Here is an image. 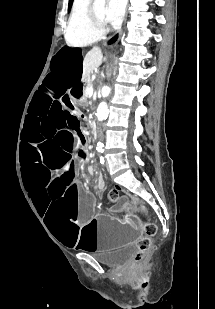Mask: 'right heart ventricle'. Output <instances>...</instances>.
<instances>
[{
	"mask_svg": "<svg viewBox=\"0 0 215 309\" xmlns=\"http://www.w3.org/2000/svg\"><path fill=\"white\" fill-rule=\"evenodd\" d=\"M64 30L65 42L71 48H82L87 46L88 42L98 40V32L93 31L84 9L71 12L68 23H64Z\"/></svg>",
	"mask_w": 215,
	"mask_h": 309,
	"instance_id": "1",
	"label": "right heart ventricle"
}]
</instances>
